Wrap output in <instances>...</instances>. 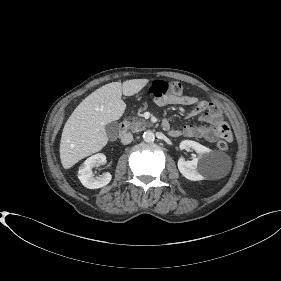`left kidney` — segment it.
<instances>
[{"mask_svg": "<svg viewBox=\"0 0 281 281\" xmlns=\"http://www.w3.org/2000/svg\"><path fill=\"white\" fill-rule=\"evenodd\" d=\"M189 148H192L199 156L191 161H185L183 158H180L178 161V169L188 180H203L204 176L209 172V153L211 150L191 140H184L180 143V149L186 150Z\"/></svg>", "mask_w": 281, "mask_h": 281, "instance_id": "left-kidney-1", "label": "left kidney"}]
</instances>
